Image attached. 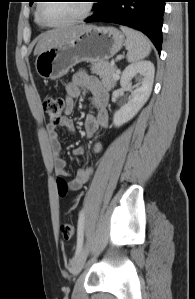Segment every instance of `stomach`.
I'll return each mask as SVG.
<instances>
[{"instance_id": "1", "label": "stomach", "mask_w": 195, "mask_h": 299, "mask_svg": "<svg viewBox=\"0 0 195 299\" xmlns=\"http://www.w3.org/2000/svg\"><path fill=\"white\" fill-rule=\"evenodd\" d=\"M124 42V34L115 27L89 25L75 37L41 52L36 58L35 68L40 77L55 80L80 62L107 61Z\"/></svg>"}]
</instances>
